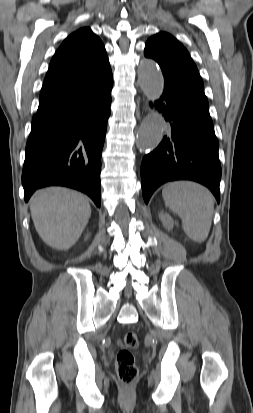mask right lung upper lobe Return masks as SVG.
Instances as JSON below:
<instances>
[{"instance_id":"right-lung-upper-lobe-1","label":"right lung upper lobe","mask_w":253,"mask_h":413,"mask_svg":"<svg viewBox=\"0 0 253 413\" xmlns=\"http://www.w3.org/2000/svg\"><path fill=\"white\" fill-rule=\"evenodd\" d=\"M111 74L99 37L88 27L77 30L51 60L33 118H45L70 102L93 95Z\"/></svg>"}]
</instances>
